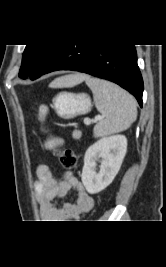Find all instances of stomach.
I'll list each match as a JSON object with an SVG mask.
<instances>
[{
	"label": "stomach",
	"mask_w": 166,
	"mask_h": 267,
	"mask_svg": "<svg viewBox=\"0 0 166 267\" xmlns=\"http://www.w3.org/2000/svg\"><path fill=\"white\" fill-rule=\"evenodd\" d=\"M57 114L64 119L87 114L91 110V99L85 93L60 92L53 99Z\"/></svg>",
	"instance_id": "1"
}]
</instances>
